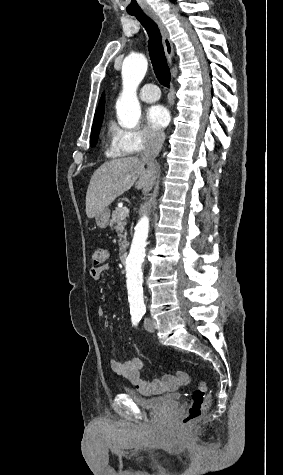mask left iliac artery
Instances as JSON below:
<instances>
[{"instance_id": "1", "label": "left iliac artery", "mask_w": 283, "mask_h": 475, "mask_svg": "<svg viewBox=\"0 0 283 475\" xmlns=\"http://www.w3.org/2000/svg\"><path fill=\"white\" fill-rule=\"evenodd\" d=\"M140 314H141V315H144V314H145V311H142Z\"/></svg>"}]
</instances>
